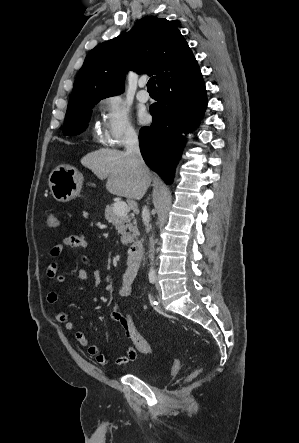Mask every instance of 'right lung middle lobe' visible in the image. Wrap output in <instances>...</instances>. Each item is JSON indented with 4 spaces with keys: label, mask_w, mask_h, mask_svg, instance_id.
Wrapping results in <instances>:
<instances>
[{
    "label": "right lung middle lobe",
    "mask_w": 299,
    "mask_h": 443,
    "mask_svg": "<svg viewBox=\"0 0 299 443\" xmlns=\"http://www.w3.org/2000/svg\"><path fill=\"white\" fill-rule=\"evenodd\" d=\"M100 100L88 101L67 109L63 126L65 135H77L83 131L89 122L92 108Z\"/></svg>",
    "instance_id": "right-lung-middle-lobe-1"
}]
</instances>
